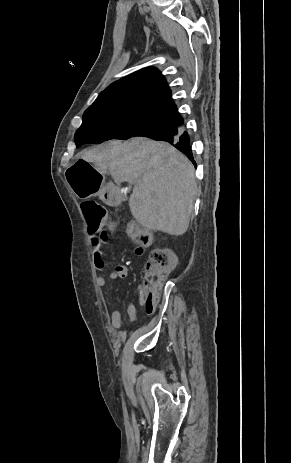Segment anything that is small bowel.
Masks as SVG:
<instances>
[{
    "label": "small bowel",
    "mask_w": 291,
    "mask_h": 463,
    "mask_svg": "<svg viewBox=\"0 0 291 463\" xmlns=\"http://www.w3.org/2000/svg\"><path fill=\"white\" fill-rule=\"evenodd\" d=\"M108 235L107 231L103 230L96 233H89L88 239L89 244L92 248L93 259L97 269L104 274L97 278V285L99 287H105L108 284V279H124L128 274V268L125 264H118L112 270H108L105 266L103 259L102 246L106 242ZM136 255H142L144 252V246L136 244L133 249ZM137 302H131L127 307V314L129 318L134 321L136 320V311L138 306H145V298L140 288L138 291ZM111 323L115 328H119L121 325V312L118 309H114L111 313Z\"/></svg>",
    "instance_id": "1"
}]
</instances>
